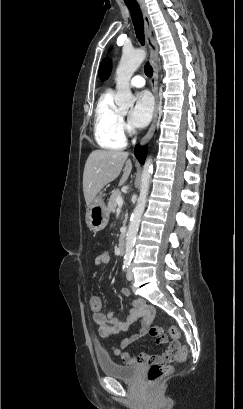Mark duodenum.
I'll use <instances>...</instances> for the list:
<instances>
[{
  "label": "duodenum",
  "mask_w": 243,
  "mask_h": 409,
  "mask_svg": "<svg viewBox=\"0 0 243 409\" xmlns=\"http://www.w3.org/2000/svg\"><path fill=\"white\" fill-rule=\"evenodd\" d=\"M118 251L120 255H123L125 253V232L122 234V237L120 239Z\"/></svg>",
  "instance_id": "obj_1"
}]
</instances>
